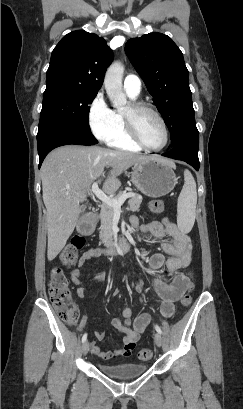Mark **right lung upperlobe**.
I'll return each instance as SVG.
<instances>
[{"label":"right lung upper lobe","mask_w":243,"mask_h":409,"mask_svg":"<svg viewBox=\"0 0 243 409\" xmlns=\"http://www.w3.org/2000/svg\"><path fill=\"white\" fill-rule=\"evenodd\" d=\"M112 61L113 52L102 37L84 30L73 31L54 48L46 82L60 81L98 91Z\"/></svg>","instance_id":"obj_1"}]
</instances>
